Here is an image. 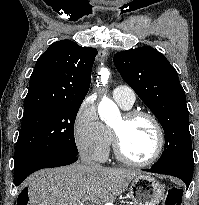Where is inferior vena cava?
Segmentation results:
<instances>
[{"instance_id":"obj_1","label":"inferior vena cava","mask_w":199,"mask_h":205,"mask_svg":"<svg viewBox=\"0 0 199 205\" xmlns=\"http://www.w3.org/2000/svg\"><path fill=\"white\" fill-rule=\"evenodd\" d=\"M81 162L83 165L91 167V168H100L99 164L94 163L87 154L81 155Z\"/></svg>"}]
</instances>
